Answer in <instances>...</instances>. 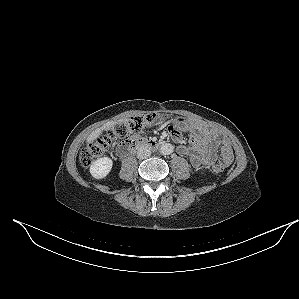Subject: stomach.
<instances>
[{"label": "stomach", "mask_w": 299, "mask_h": 299, "mask_svg": "<svg viewBox=\"0 0 299 299\" xmlns=\"http://www.w3.org/2000/svg\"><path fill=\"white\" fill-rule=\"evenodd\" d=\"M178 120H180L179 123L183 124V126L186 128L187 121H186V120H183V119H178Z\"/></svg>", "instance_id": "0dacf381"}]
</instances>
